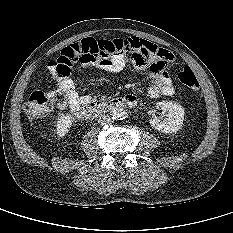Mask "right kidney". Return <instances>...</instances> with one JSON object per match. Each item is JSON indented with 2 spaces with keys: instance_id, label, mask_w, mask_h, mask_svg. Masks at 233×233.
Here are the masks:
<instances>
[{
  "instance_id": "right-kidney-1",
  "label": "right kidney",
  "mask_w": 233,
  "mask_h": 233,
  "mask_svg": "<svg viewBox=\"0 0 233 233\" xmlns=\"http://www.w3.org/2000/svg\"><path fill=\"white\" fill-rule=\"evenodd\" d=\"M73 117L70 114L61 115L56 124V134L58 137L65 136L71 125Z\"/></svg>"
}]
</instances>
